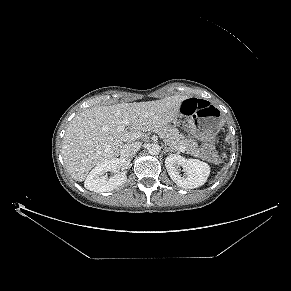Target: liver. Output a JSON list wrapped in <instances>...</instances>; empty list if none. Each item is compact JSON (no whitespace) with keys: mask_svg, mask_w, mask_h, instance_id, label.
<instances>
[{"mask_svg":"<svg viewBox=\"0 0 291 291\" xmlns=\"http://www.w3.org/2000/svg\"><path fill=\"white\" fill-rule=\"evenodd\" d=\"M187 98L174 95L155 101L92 107L79 113L63 138L62 156L68 173L74 180L84 181L94 166L117 157L125 144L137 142L134 135L141 136L173 122ZM125 120L129 121V132L118 128Z\"/></svg>","mask_w":291,"mask_h":291,"instance_id":"1","label":"liver"}]
</instances>
